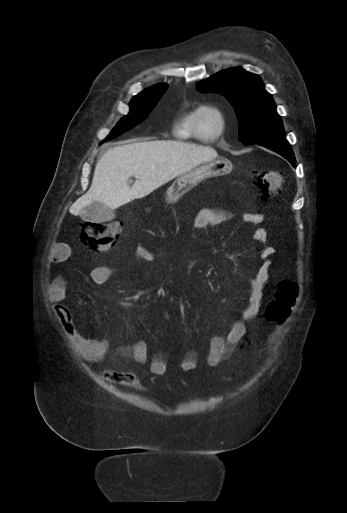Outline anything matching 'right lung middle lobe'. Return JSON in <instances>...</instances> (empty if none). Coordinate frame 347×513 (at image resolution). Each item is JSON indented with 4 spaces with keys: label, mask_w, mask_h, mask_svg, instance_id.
<instances>
[{
    "label": "right lung middle lobe",
    "mask_w": 347,
    "mask_h": 513,
    "mask_svg": "<svg viewBox=\"0 0 347 513\" xmlns=\"http://www.w3.org/2000/svg\"><path fill=\"white\" fill-rule=\"evenodd\" d=\"M166 89L167 85H157L135 96L130 103L131 112L122 118L103 142L115 138L142 122L156 106Z\"/></svg>",
    "instance_id": "1"
}]
</instances>
